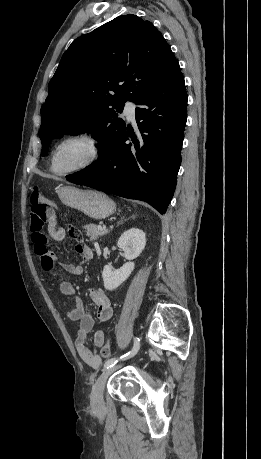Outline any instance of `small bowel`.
Segmentation results:
<instances>
[{
    "mask_svg": "<svg viewBox=\"0 0 261 459\" xmlns=\"http://www.w3.org/2000/svg\"><path fill=\"white\" fill-rule=\"evenodd\" d=\"M47 231L49 237L45 234L44 238H35L34 234H31L34 251L40 259L42 269L46 272L55 273L59 277L60 291L64 295L74 296V307L67 312V317L70 321L76 322L79 325V330L75 338V347L82 361L97 369L101 366L102 359L96 351L91 350L87 346L88 335L94 327L91 308L77 294L75 286L70 281L62 278L61 272L58 270L61 268L69 274L79 276L83 272V263L72 264L61 262L56 253L50 248V239L62 242L68 234L76 241L75 250L82 256L84 262L93 258V251L88 245L82 242V235L80 237L72 236L69 228L66 230L63 227L57 226L55 219L48 223ZM86 293L96 308L98 320L102 323L110 321L113 316V308L106 293L100 288L88 289ZM104 341L105 333L102 330L95 331L93 338L94 346L99 347Z\"/></svg>",
    "mask_w": 261,
    "mask_h": 459,
    "instance_id": "small-bowel-1",
    "label": "small bowel"
}]
</instances>
